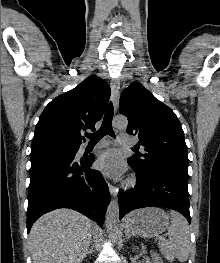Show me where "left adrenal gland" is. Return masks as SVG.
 <instances>
[{
  "instance_id": "left-adrenal-gland-1",
  "label": "left adrenal gland",
  "mask_w": 220,
  "mask_h": 263,
  "mask_svg": "<svg viewBox=\"0 0 220 263\" xmlns=\"http://www.w3.org/2000/svg\"><path fill=\"white\" fill-rule=\"evenodd\" d=\"M126 235V239L129 240V238L131 237V235L128 232H125Z\"/></svg>"
}]
</instances>
